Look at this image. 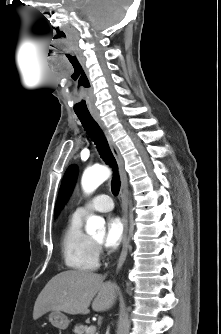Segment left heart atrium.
<instances>
[{
    "label": "left heart atrium",
    "instance_id": "1",
    "mask_svg": "<svg viewBox=\"0 0 221 334\" xmlns=\"http://www.w3.org/2000/svg\"><path fill=\"white\" fill-rule=\"evenodd\" d=\"M124 226L122 220L119 217H109L106 223V235L104 238V244L108 248L117 247L123 240Z\"/></svg>",
    "mask_w": 221,
    "mask_h": 334
}]
</instances>
